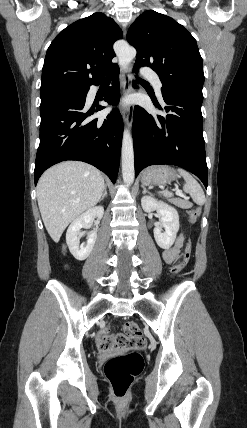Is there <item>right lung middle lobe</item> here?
Segmentation results:
<instances>
[{
	"instance_id": "dd1d6c3e",
	"label": "right lung middle lobe",
	"mask_w": 247,
	"mask_h": 428,
	"mask_svg": "<svg viewBox=\"0 0 247 428\" xmlns=\"http://www.w3.org/2000/svg\"><path fill=\"white\" fill-rule=\"evenodd\" d=\"M88 88H65L51 92L41 93V101L57 98H82L87 94Z\"/></svg>"
}]
</instances>
